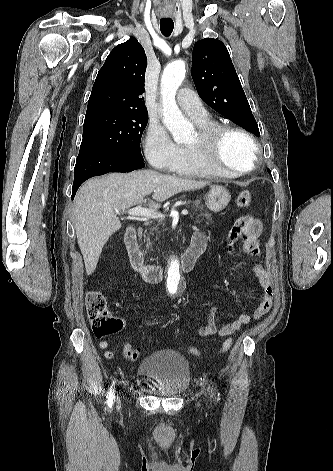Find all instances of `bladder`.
<instances>
[{
	"instance_id": "31cf9c89",
	"label": "bladder",
	"mask_w": 333,
	"mask_h": 471,
	"mask_svg": "<svg viewBox=\"0 0 333 471\" xmlns=\"http://www.w3.org/2000/svg\"><path fill=\"white\" fill-rule=\"evenodd\" d=\"M139 378L155 382V392L162 397H176L184 393L191 382L187 359L170 349L158 350L146 356L137 368Z\"/></svg>"
}]
</instances>
